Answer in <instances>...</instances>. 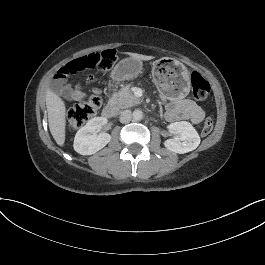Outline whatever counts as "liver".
Segmentation results:
<instances>
[{
  "label": "liver",
  "mask_w": 265,
  "mask_h": 265,
  "mask_svg": "<svg viewBox=\"0 0 265 265\" xmlns=\"http://www.w3.org/2000/svg\"><path fill=\"white\" fill-rule=\"evenodd\" d=\"M136 60L148 61L153 59V56H146L137 53L125 52ZM46 107L48 112V122L50 132L59 146L65 142V125H66V112L63 100L55 94L52 90L46 91Z\"/></svg>",
  "instance_id": "1"
}]
</instances>
